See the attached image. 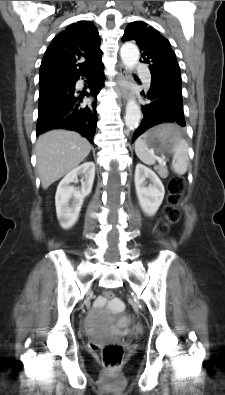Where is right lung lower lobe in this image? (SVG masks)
I'll return each mask as SVG.
<instances>
[{"instance_id":"obj_1","label":"right lung lower lobe","mask_w":225,"mask_h":395,"mask_svg":"<svg viewBox=\"0 0 225 395\" xmlns=\"http://www.w3.org/2000/svg\"><path fill=\"white\" fill-rule=\"evenodd\" d=\"M103 69L104 65L100 61L88 73L82 74L86 78L90 72L96 76L94 84L89 87L90 93L75 91L79 76L64 80L39 93L37 136L51 129L63 128L81 133L92 143L97 124L96 102L83 106L82 100L89 95L96 98L105 79Z\"/></svg>"}]
</instances>
